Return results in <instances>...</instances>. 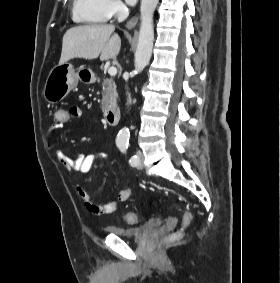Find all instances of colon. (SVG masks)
<instances>
[{
	"label": "colon",
	"mask_w": 280,
	"mask_h": 283,
	"mask_svg": "<svg viewBox=\"0 0 280 283\" xmlns=\"http://www.w3.org/2000/svg\"><path fill=\"white\" fill-rule=\"evenodd\" d=\"M69 108L58 107L54 111V122H58L59 125H68L72 123L73 114H68ZM124 219L128 224H135L139 221V215L136 212H127L124 215ZM193 216L189 211H184L182 215V230L187 229L192 222Z\"/></svg>",
	"instance_id": "1"
}]
</instances>
